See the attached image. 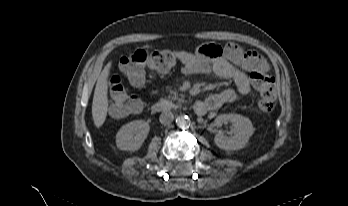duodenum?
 <instances>
[{"instance_id": "duodenum-1", "label": "duodenum", "mask_w": 348, "mask_h": 206, "mask_svg": "<svg viewBox=\"0 0 348 206\" xmlns=\"http://www.w3.org/2000/svg\"><path fill=\"white\" fill-rule=\"evenodd\" d=\"M172 110V104L169 101L160 100L152 105V111L154 113H168ZM210 110V101L197 102L194 105V113L196 115H204Z\"/></svg>"}]
</instances>
